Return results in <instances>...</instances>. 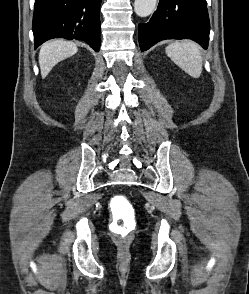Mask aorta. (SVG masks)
Wrapping results in <instances>:
<instances>
[{
	"label": "aorta",
	"mask_w": 249,
	"mask_h": 294,
	"mask_svg": "<svg viewBox=\"0 0 249 294\" xmlns=\"http://www.w3.org/2000/svg\"><path fill=\"white\" fill-rule=\"evenodd\" d=\"M157 0H135L134 11L139 17L149 16L155 9Z\"/></svg>",
	"instance_id": "762f6f07"
}]
</instances>
